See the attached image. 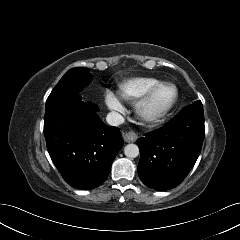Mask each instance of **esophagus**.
I'll return each instance as SVG.
<instances>
[{
	"mask_svg": "<svg viewBox=\"0 0 240 240\" xmlns=\"http://www.w3.org/2000/svg\"><path fill=\"white\" fill-rule=\"evenodd\" d=\"M138 138V135L134 132H126L124 134V140L128 143L135 142Z\"/></svg>",
	"mask_w": 240,
	"mask_h": 240,
	"instance_id": "esophagus-1",
	"label": "esophagus"
}]
</instances>
